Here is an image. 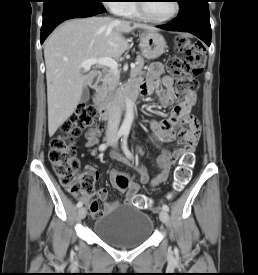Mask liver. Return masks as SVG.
Instances as JSON below:
<instances>
[{
  "instance_id": "liver-1",
  "label": "liver",
  "mask_w": 258,
  "mask_h": 275,
  "mask_svg": "<svg viewBox=\"0 0 258 275\" xmlns=\"http://www.w3.org/2000/svg\"><path fill=\"white\" fill-rule=\"evenodd\" d=\"M138 28L157 31L145 24L87 17L66 21L49 36L44 58L50 137L73 114L91 79L81 72V63L92 58L121 57L128 46L122 34Z\"/></svg>"
}]
</instances>
